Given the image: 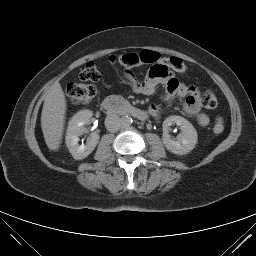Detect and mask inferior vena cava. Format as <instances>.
Masks as SVG:
<instances>
[{
  "mask_svg": "<svg viewBox=\"0 0 256 256\" xmlns=\"http://www.w3.org/2000/svg\"><path fill=\"white\" fill-rule=\"evenodd\" d=\"M106 129L110 132H117L121 127V118L116 114H109L105 119Z\"/></svg>",
  "mask_w": 256,
  "mask_h": 256,
  "instance_id": "602c4592",
  "label": "inferior vena cava"
}]
</instances>
